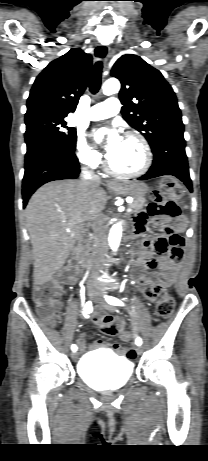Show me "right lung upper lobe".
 I'll return each instance as SVG.
<instances>
[{"instance_id": "right-lung-upper-lobe-1", "label": "right lung upper lobe", "mask_w": 208, "mask_h": 461, "mask_svg": "<svg viewBox=\"0 0 208 461\" xmlns=\"http://www.w3.org/2000/svg\"><path fill=\"white\" fill-rule=\"evenodd\" d=\"M92 57L80 48L50 62L36 78L25 116H67L87 86Z\"/></svg>"}]
</instances>
